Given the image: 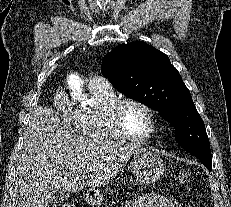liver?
<instances>
[{"mask_svg":"<svg viewBox=\"0 0 231 207\" xmlns=\"http://www.w3.org/2000/svg\"><path fill=\"white\" fill-rule=\"evenodd\" d=\"M138 150L130 144L82 139L52 109L38 107L30 117L18 157V207H48L59 190L104 186Z\"/></svg>","mask_w":231,"mask_h":207,"instance_id":"6515ba94","label":"liver"}]
</instances>
